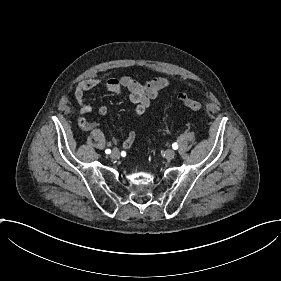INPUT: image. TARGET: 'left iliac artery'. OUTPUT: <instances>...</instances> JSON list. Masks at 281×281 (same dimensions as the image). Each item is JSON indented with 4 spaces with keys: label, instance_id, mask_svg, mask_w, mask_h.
Listing matches in <instances>:
<instances>
[{
    "label": "left iliac artery",
    "instance_id": "left-iliac-artery-1",
    "mask_svg": "<svg viewBox=\"0 0 281 281\" xmlns=\"http://www.w3.org/2000/svg\"><path fill=\"white\" fill-rule=\"evenodd\" d=\"M172 147H173L174 150L178 149L177 143L172 144Z\"/></svg>",
    "mask_w": 281,
    "mask_h": 281
}]
</instances>
